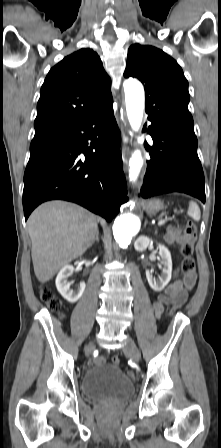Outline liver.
Wrapping results in <instances>:
<instances>
[{
  "label": "liver",
  "mask_w": 221,
  "mask_h": 448,
  "mask_svg": "<svg viewBox=\"0 0 221 448\" xmlns=\"http://www.w3.org/2000/svg\"><path fill=\"white\" fill-rule=\"evenodd\" d=\"M27 225L34 273L45 283L91 246L98 218L76 204L50 201L32 212Z\"/></svg>",
  "instance_id": "1"
}]
</instances>
